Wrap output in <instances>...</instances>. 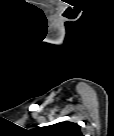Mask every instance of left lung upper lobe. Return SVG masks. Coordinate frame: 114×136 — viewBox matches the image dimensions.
<instances>
[{"instance_id":"1","label":"left lung upper lobe","mask_w":114,"mask_h":136,"mask_svg":"<svg viewBox=\"0 0 114 136\" xmlns=\"http://www.w3.org/2000/svg\"><path fill=\"white\" fill-rule=\"evenodd\" d=\"M40 136H81L80 126L77 123L65 121L50 126L38 128Z\"/></svg>"}]
</instances>
